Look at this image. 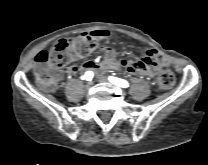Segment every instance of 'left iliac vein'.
<instances>
[{
  "instance_id": "4c4485c4",
  "label": "left iliac vein",
  "mask_w": 208,
  "mask_h": 165,
  "mask_svg": "<svg viewBox=\"0 0 208 165\" xmlns=\"http://www.w3.org/2000/svg\"><path fill=\"white\" fill-rule=\"evenodd\" d=\"M99 81L100 82H108V79L106 77H100Z\"/></svg>"
}]
</instances>
